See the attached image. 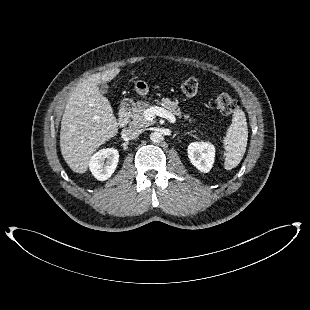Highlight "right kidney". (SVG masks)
Returning a JSON list of instances; mask_svg holds the SVG:
<instances>
[{"label": "right kidney", "instance_id": "ca27d5eb", "mask_svg": "<svg viewBox=\"0 0 310 310\" xmlns=\"http://www.w3.org/2000/svg\"><path fill=\"white\" fill-rule=\"evenodd\" d=\"M118 161L119 153L116 149H101L90 158L89 169L97 180L105 181L116 170Z\"/></svg>", "mask_w": 310, "mask_h": 310}]
</instances>
